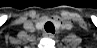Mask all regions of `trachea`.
<instances>
[{"mask_svg":"<svg viewBox=\"0 0 97 48\" xmlns=\"http://www.w3.org/2000/svg\"><path fill=\"white\" fill-rule=\"evenodd\" d=\"M44 28H45L46 32H49V33H52V34L55 33V27H54L52 22H47L45 24Z\"/></svg>","mask_w":97,"mask_h":48,"instance_id":"3493384b","label":"trachea"}]
</instances>
